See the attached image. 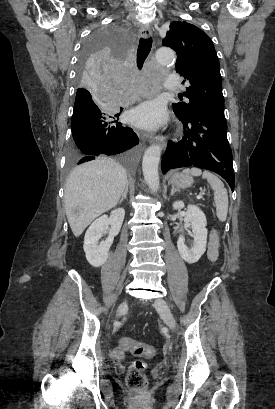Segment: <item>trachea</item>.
I'll use <instances>...</instances> for the list:
<instances>
[{"label":"trachea","instance_id":"1","mask_svg":"<svg viewBox=\"0 0 275 409\" xmlns=\"http://www.w3.org/2000/svg\"><path fill=\"white\" fill-rule=\"evenodd\" d=\"M152 47V38H140L138 49H137V66L139 69L142 68L143 63Z\"/></svg>","mask_w":275,"mask_h":409}]
</instances>
